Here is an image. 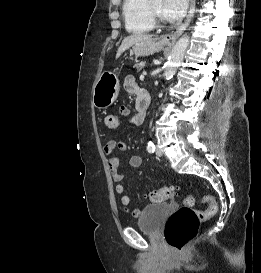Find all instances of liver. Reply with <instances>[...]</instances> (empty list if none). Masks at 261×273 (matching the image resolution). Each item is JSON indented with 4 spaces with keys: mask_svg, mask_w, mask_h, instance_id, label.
Segmentation results:
<instances>
[{
    "mask_svg": "<svg viewBox=\"0 0 261 273\" xmlns=\"http://www.w3.org/2000/svg\"><path fill=\"white\" fill-rule=\"evenodd\" d=\"M149 39H152V35L133 34V35L127 36L126 38H124L120 47L118 48L116 57L119 58L120 55L125 50H127L129 47L133 46L134 44L141 42V41L149 40Z\"/></svg>",
    "mask_w": 261,
    "mask_h": 273,
    "instance_id": "liver-1",
    "label": "liver"
}]
</instances>
